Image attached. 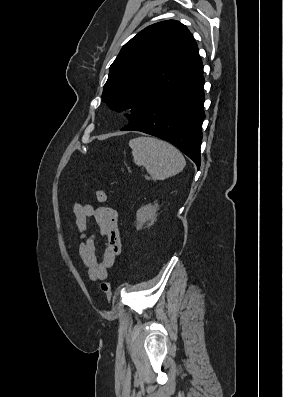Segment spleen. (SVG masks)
Returning <instances> with one entry per match:
<instances>
[{
  "mask_svg": "<svg viewBox=\"0 0 283 397\" xmlns=\"http://www.w3.org/2000/svg\"><path fill=\"white\" fill-rule=\"evenodd\" d=\"M133 160L143 166L153 180H165L183 171L186 161L173 145L153 137H137L129 141Z\"/></svg>",
  "mask_w": 283,
  "mask_h": 397,
  "instance_id": "spleen-1",
  "label": "spleen"
}]
</instances>
